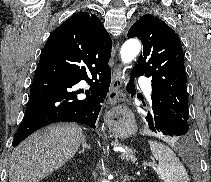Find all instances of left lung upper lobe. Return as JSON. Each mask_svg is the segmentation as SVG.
<instances>
[{
    "mask_svg": "<svg viewBox=\"0 0 211 182\" xmlns=\"http://www.w3.org/2000/svg\"><path fill=\"white\" fill-rule=\"evenodd\" d=\"M142 41L143 51L132 72L151 78L152 107L161 104L189 120L183 49L179 37L160 18L144 15L128 31Z\"/></svg>",
    "mask_w": 211,
    "mask_h": 182,
    "instance_id": "left-lung-upper-lobe-1",
    "label": "left lung upper lobe"
}]
</instances>
